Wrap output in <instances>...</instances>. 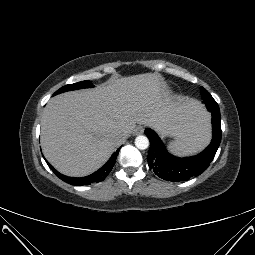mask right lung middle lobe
<instances>
[{
  "instance_id": "obj_1",
  "label": "right lung middle lobe",
  "mask_w": 255,
  "mask_h": 255,
  "mask_svg": "<svg viewBox=\"0 0 255 255\" xmlns=\"http://www.w3.org/2000/svg\"><path fill=\"white\" fill-rule=\"evenodd\" d=\"M90 87H93V84L90 81H81L78 83L63 86L62 88L57 90L54 93V95H57L59 93L66 92V91L77 90V89H81V88H90Z\"/></svg>"
}]
</instances>
